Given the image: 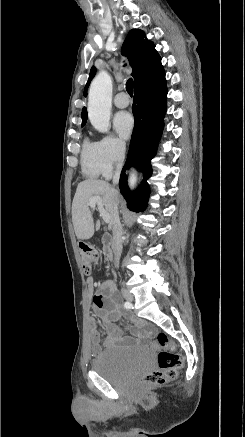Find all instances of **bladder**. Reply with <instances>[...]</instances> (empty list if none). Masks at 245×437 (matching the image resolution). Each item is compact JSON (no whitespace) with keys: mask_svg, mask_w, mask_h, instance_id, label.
<instances>
[{"mask_svg":"<svg viewBox=\"0 0 245 437\" xmlns=\"http://www.w3.org/2000/svg\"><path fill=\"white\" fill-rule=\"evenodd\" d=\"M153 362L149 348L125 350L114 348L93 359L91 368L112 384L124 385L148 370Z\"/></svg>","mask_w":245,"mask_h":437,"instance_id":"obj_1","label":"bladder"}]
</instances>
